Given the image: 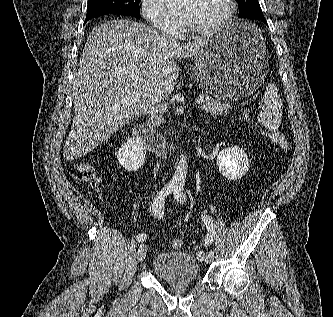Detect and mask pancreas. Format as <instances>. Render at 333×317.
Instances as JSON below:
<instances>
[{
    "mask_svg": "<svg viewBox=\"0 0 333 317\" xmlns=\"http://www.w3.org/2000/svg\"><path fill=\"white\" fill-rule=\"evenodd\" d=\"M202 111H206L210 114L227 115L230 113L231 107L228 103L221 102L218 99L212 97H206L204 105L199 107ZM152 125H159L164 122V118L161 114H154L151 116Z\"/></svg>",
    "mask_w": 333,
    "mask_h": 317,
    "instance_id": "obj_1",
    "label": "pancreas"
}]
</instances>
